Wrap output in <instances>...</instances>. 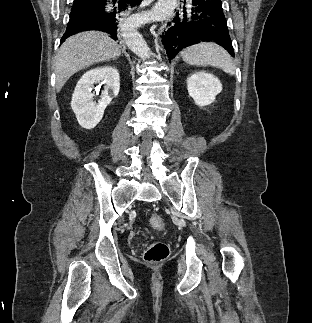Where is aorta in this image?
<instances>
[{"label": "aorta", "mask_w": 312, "mask_h": 323, "mask_svg": "<svg viewBox=\"0 0 312 323\" xmlns=\"http://www.w3.org/2000/svg\"><path fill=\"white\" fill-rule=\"evenodd\" d=\"M124 38L129 50L134 52L139 58H142V60H147V58L152 56L150 48H148L144 38H142L137 30H130L128 34H125Z\"/></svg>", "instance_id": "aorta-1"}]
</instances>
